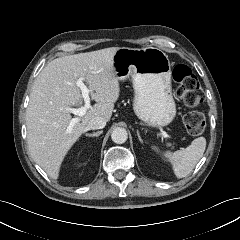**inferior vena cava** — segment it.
I'll return each instance as SVG.
<instances>
[{"label": "inferior vena cava", "instance_id": "obj_1", "mask_svg": "<svg viewBox=\"0 0 240 240\" xmlns=\"http://www.w3.org/2000/svg\"><path fill=\"white\" fill-rule=\"evenodd\" d=\"M105 125H106V120L103 117L97 116L88 122L87 129H92V130L102 129L105 127Z\"/></svg>", "mask_w": 240, "mask_h": 240}]
</instances>
